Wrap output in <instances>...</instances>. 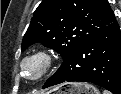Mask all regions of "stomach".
Wrapping results in <instances>:
<instances>
[{
  "label": "stomach",
  "mask_w": 121,
  "mask_h": 94,
  "mask_svg": "<svg viewBox=\"0 0 121 94\" xmlns=\"http://www.w3.org/2000/svg\"><path fill=\"white\" fill-rule=\"evenodd\" d=\"M46 94H99V92L90 84L64 83Z\"/></svg>",
  "instance_id": "obj_1"
}]
</instances>
